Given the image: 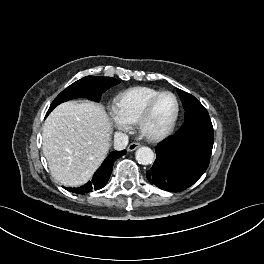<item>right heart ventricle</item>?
<instances>
[{
  "label": "right heart ventricle",
  "mask_w": 264,
  "mask_h": 264,
  "mask_svg": "<svg viewBox=\"0 0 264 264\" xmlns=\"http://www.w3.org/2000/svg\"><path fill=\"white\" fill-rule=\"evenodd\" d=\"M160 92L158 89L146 86L126 89L115 97L114 110L128 124H134L149 100Z\"/></svg>",
  "instance_id": "1"
}]
</instances>
